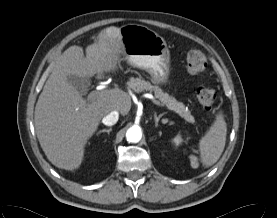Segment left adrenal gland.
<instances>
[{"mask_svg":"<svg viewBox=\"0 0 277 218\" xmlns=\"http://www.w3.org/2000/svg\"><path fill=\"white\" fill-rule=\"evenodd\" d=\"M164 115V113L160 114L157 116V114L155 113L154 114V119H155V127H158V123H159V120L160 118H162V116ZM163 123H167L168 122V119L166 120H162Z\"/></svg>","mask_w":277,"mask_h":218,"instance_id":"1","label":"left adrenal gland"}]
</instances>
